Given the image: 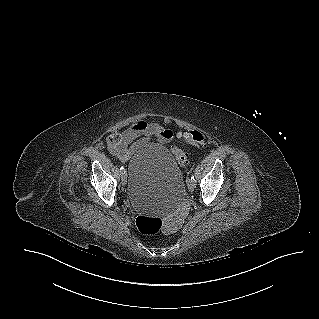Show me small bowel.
<instances>
[{
  "instance_id": "c3829d8e",
  "label": "small bowel",
  "mask_w": 319,
  "mask_h": 319,
  "mask_svg": "<svg viewBox=\"0 0 319 319\" xmlns=\"http://www.w3.org/2000/svg\"><path fill=\"white\" fill-rule=\"evenodd\" d=\"M152 138L160 143H168L173 138V132L158 123L138 120L123 131L119 128H110L105 133V142L109 151L121 162H127Z\"/></svg>"
}]
</instances>
